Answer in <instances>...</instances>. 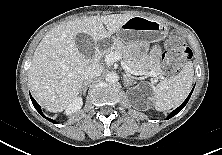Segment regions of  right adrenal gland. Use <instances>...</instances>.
Here are the masks:
<instances>
[{
  "label": "right adrenal gland",
  "instance_id": "right-adrenal-gland-1",
  "mask_svg": "<svg viewBox=\"0 0 222 155\" xmlns=\"http://www.w3.org/2000/svg\"><path fill=\"white\" fill-rule=\"evenodd\" d=\"M89 83H90V81H86V82L83 83V86L81 88V92H83V95L86 94L87 87H88Z\"/></svg>",
  "mask_w": 222,
  "mask_h": 155
}]
</instances>
